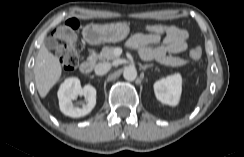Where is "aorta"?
Here are the masks:
<instances>
[{
  "instance_id": "aorta-1",
  "label": "aorta",
  "mask_w": 244,
  "mask_h": 157,
  "mask_svg": "<svg viewBox=\"0 0 244 157\" xmlns=\"http://www.w3.org/2000/svg\"><path fill=\"white\" fill-rule=\"evenodd\" d=\"M123 76L127 81H134L137 77V70L133 66H128L124 69Z\"/></svg>"
}]
</instances>
